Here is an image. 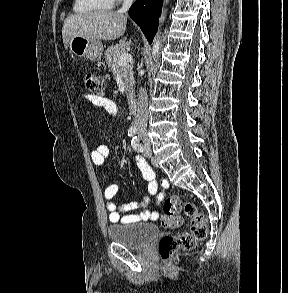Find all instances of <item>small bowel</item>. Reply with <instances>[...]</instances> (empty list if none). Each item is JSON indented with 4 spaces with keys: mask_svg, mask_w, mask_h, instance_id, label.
<instances>
[{
    "mask_svg": "<svg viewBox=\"0 0 288 293\" xmlns=\"http://www.w3.org/2000/svg\"><path fill=\"white\" fill-rule=\"evenodd\" d=\"M83 98L89 101L92 105L104 109L110 115L115 116L118 113V104L108 95H92L83 94ZM109 156V148L105 144H98L94 146L90 152V157L95 165H102ZM135 164L140 170L144 180L147 182V189L150 195L156 196L157 201L160 202L164 198V194L158 191V183L155 180V175L148 163L140 156L135 157ZM119 191V186L116 183L109 184L104 192L106 199V208L108 211V219L111 223H135L140 221L157 220L158 213L148 209L141 210L138 214L129 213L123 217L120 215L121 211L130 212L144 207L148 204L149 198L145 197L142 202H130L124 205H118L113 201Z\"/></svg>",
    "mask_w": 288,
    "mask_h": 293,
    "instance_id": "obj_1",
    "label": "small bowel"
}]
</instances>
